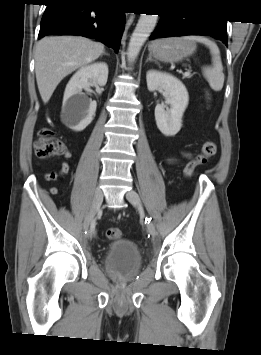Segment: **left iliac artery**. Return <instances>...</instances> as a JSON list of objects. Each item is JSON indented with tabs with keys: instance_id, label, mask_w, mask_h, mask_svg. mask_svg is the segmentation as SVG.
<instances>
[{
	"instance_id": "left-iliac-artery-1",
	"label": "left iliac artery",
	"mask_w": 261,
	"mask_h": 355,
	"mask_svg": "<svg viewBox=\"0 0 261 355\" xmlns=\"http://www.w3.org/2000/svg\"><path fill=\"white\" fill-rule=\"evenodd\" d=\"M145 223H146L147 225L150 224V223H151V218L146 217ZM149 236H150V235H149Z\"/></svg>"
}]
</instances>
